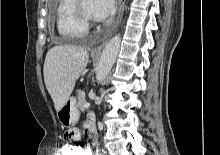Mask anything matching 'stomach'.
Instances as JSON below:
<instances>
[{"label": "stomach", "mask_w": 220, "mask_h": 155, "mask_svg": "<svg viewBox=\"0 0 220 155\" xmlns=\"http://www.w3.org/2000/svg\"><path fill=\"white\" fill-rule=\"evenodd\" d=\"M57 117L62 126H73L79 118V111L75 98H69L62 108L57 112Z\"/></svg>", "instance_id": "obj_1"}]
</instances>
